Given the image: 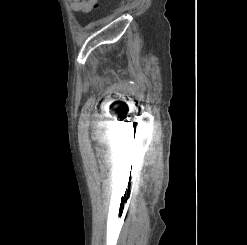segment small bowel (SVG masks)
<instances>
[{
  "label": "small bowel",
  "mask_w": 247,
  "mask_h": 245,
  "mask_svg": "<svg viewBox=\"0 0 247 245\" xmlns=\"http://www.w3.org/2000/svg\"><path fill=\"white\" fill-rule=\"evenodd\" d=\"M97 1L98 0H69L71 9L77 13L90 11Z\"/></svg>",
  "instance_id": "small-bowel-1"
}]
</instances>
